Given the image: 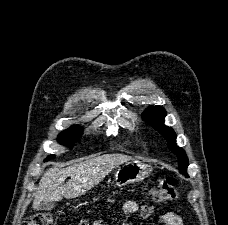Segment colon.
Listing matches in <instances>:
<instances>
[{
	"label": "colon",
	"mask_w": 228,
	"mask_h": 225,
	"mask_svg": "<svg viewBox=\"0 0 228 225\" xmlns=\"http://www.w3.org/2000/svg\"><path fill=\"white\" fill-rule=\"evenodd\" d=\"M178 182L173 177L163 178L158 181L153 188V194L160 203L173 201L178 196ZM25 225H53L52 216L48 212H37L33 215ZM80 225H88V223H80Z\"/></svg>",
	"instance_id": "colon-1"
}]
</instances>
